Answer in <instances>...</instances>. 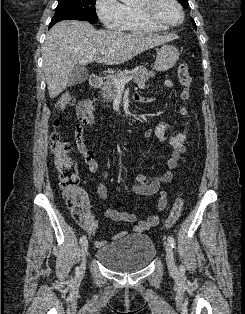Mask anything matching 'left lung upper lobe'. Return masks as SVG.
I'll list each match as a JSON object with an SVG mask.
<instances>
[{
	"label": "left lung upper lobe",
	"instance_id": "5c2ea615",
	"mask_svg": "<svg viewBox=\"0 0 245 314\" xmlns=\"http://www.w3.org/2000/svg\"><path fill=\"white\" fill-rule=\"evenodd\" d=\"M178 1L182 4V6L184 8L188 7V1L187 0H178ZM192 24L196 27L195 21L193 19H192Z\"/></svg>",
	"mask_w": 245,
	"mask_h": 314
}]
</instances>
